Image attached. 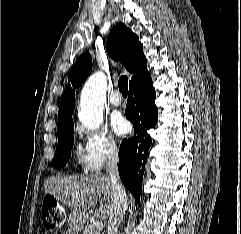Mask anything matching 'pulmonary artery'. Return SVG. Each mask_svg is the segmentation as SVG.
I'll return each mask as SVG.
<instances>
[{"label": "pulmonary artery", "mask_w": 241, "mask_h": 234, "mask_svg": "<svg viewBox=\"0 0 241 234\" xmlns=\"http://www.w3.org/2000/svg\"><path fill=\"white\" fill-rule=\"evenodd\" d=\"M109 103L114 106H120L122 103V98L119 92L114 91L110 96H109Z\"/></svg>", "instance_id": "obj_1"}]
</instances>
